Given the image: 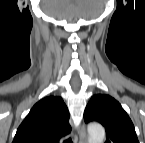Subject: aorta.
Listing matches in <instances>:
<instances>
[{
	"label": "aorta",
	"instance_id": "1",
	"mask_svg": "<svg viewBox=\"0 0 145 143\" xmlns=\"http://www.w3.org/2000/svg\"><path fill=\"white\" fill-rule=\"evenodd\" d=\"M105 138V130L100 124L88 125V142L102 143Z\"/></svg>",
	"mask_w": 145,
	"mask_h": 143
}]
</instances>
